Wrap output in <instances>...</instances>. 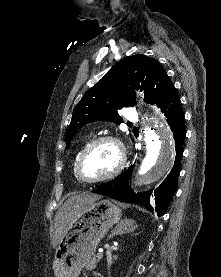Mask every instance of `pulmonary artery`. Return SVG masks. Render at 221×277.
Segmentation results:
<instances>
[{"mask_svg":"<svg viewBox=\"0 0 221 277\" xmlns=\"http://www.w3.org/2000/svg\"><path fill=\"white\" fill-rule=\"evenodd\" d=\"M124 116L129 121H135L137 118V115L132 108H126L124 111Z\"/></svg>","mask_w":221,"mask_h":277,"instance_id":"pulmonary-artery-1","label":"pulmonary artery"}]
</instances>
